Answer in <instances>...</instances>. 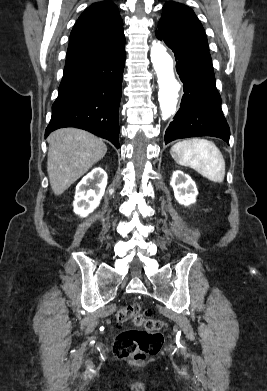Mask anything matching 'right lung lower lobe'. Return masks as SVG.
<instances>
[{
    "mask_svg": "<svg viewBox=\"0 0 267 391\" xmlns=\"http://www.w3.org/2000/svg\"><path fill=\"white\" fill-rule=\"evenodd\" d=\"M124 65L123 46L65 67L45 136L59 128L76 127L108 139L119 148L118 111Z\"/></svg>",
    "mask_w": 267,
    "mask_h": 391,
    "instance_id": "right-lung-lower-lobe-1",
    "label": "right lung lower lobe"
}]
</instances>
